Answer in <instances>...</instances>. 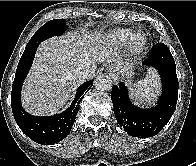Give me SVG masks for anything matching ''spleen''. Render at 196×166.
<instances>
[{
  "instance_id": "obj_1",
  "label": "spleen",
  "mask_w": 196,
  "mask_h": 166,
  "mask_svg": "<svg viewBox=\"0 0 196 166\" xmlns=\"http://www.w3.org/2000/svg\"><path fill=\"white\" fill-rule=\"evenodd\" d=\"M160 90L159 78L153 69H149L146 77L135 84L133 96L142 102L153 101Z\"/></svg>"
}]
</instances>
